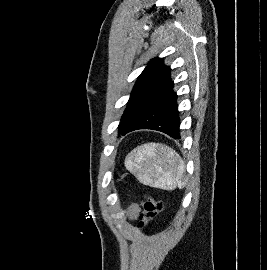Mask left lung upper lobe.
<instances>
[{
	"instance_id": "obj_1",
	"label": "left lung upper lobe",
	"mask_w": 267,
	"mask_h": 270,
	"mask_svg": "<svg viewBox=\"0 0 267 270\" xmlns=\"http://www.w3.org/2000/svg\"><path fill=\"white\" fill-rule=\"evenodd\" d=\"M170 71V67L164 66L161 58L148 63L134 85L118 126L119 134L123 135L159 97L171 81Z\"/></svg>"
}]
</instances>
